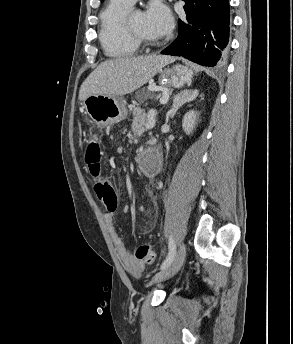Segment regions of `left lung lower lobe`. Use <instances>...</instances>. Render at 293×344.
Segmentation results:
<instances>
[{"label": "left lung lower lobe", "instance_id": "1", "mask_svg": "<svg viewBox=\"0 0 293 344\" xmlns=\"http://www.w3.org/2000/svg\"><path fill=\"white\" fill-rule=\"evenodd\" d=\"M185 24L178 20V36L161 54L182 56L203 66H216L227 56L228 0H184Z\"/></svg>", "mask_w": 293, "mask_h": 344}]
</instances>
